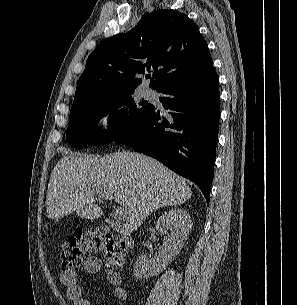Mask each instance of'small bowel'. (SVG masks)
Listing matches in <instances>:
<instances>
[{
  "label": "small bowel",
  "mask_w": 297,
  "mask_h": 305,
  "mask_svg": "<svg viewBox=\"0 0 297 305\" xmlns=\"http://www.w3.org/2000/svg\"><path fill=\"white\" fill-rule=\"evenodd\" d=\"M104 268L103 262L97 257L90 258L84 265L87 275H95ZM106 279L114 286V296L119 301L127 299V291L121 286L122 277L119 273L106 268L104 271ZM60 283L65 287L68 298L73 305H91L90 300L85 295L80 285L79 276L75 271H62L59 274Z\"/></svg>",
  "instance_id": "obj_1"
}]
</instances>
